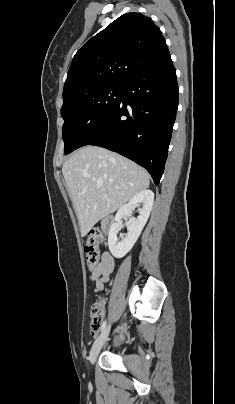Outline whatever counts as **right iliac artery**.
<instances>
[{
    "label": "right iliac artery",
    "instance_id": "right-iliac-artery-1",
    "mask_svg": "<svg viewBox=\"0 0 235 404\" xmlns=\"http://www.w3.org/2000/svg\"><path fill=\"white\" fill-rule=\"evenodd\" d=\"M105 326H106V321L103 323V325H102V327L100 329L101 332L105 329Z\"/></svg>",
    "mask_w": 235,
    "mask_h": 404
}]
</instances>
